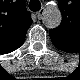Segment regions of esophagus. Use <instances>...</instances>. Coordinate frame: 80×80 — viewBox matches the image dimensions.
<instances>
[{
    "label": "esophagus",
    "mask_w": 80,
    "mask_h": 80,
    "mask_svg": "<svg viewBox=\"0 0 80 80\" xmlns=\"http://www.w3.org/2000/svg\"><path fill=\"white\" fill-rule=\"evenodd\" d=\"M44 12H45V10L40 11V12L37 13L38 19H41L42 18V15H43Z\"/></svg>",
    "instance_id": "1"
}]
</instances>
